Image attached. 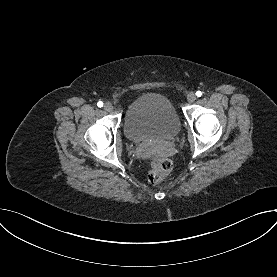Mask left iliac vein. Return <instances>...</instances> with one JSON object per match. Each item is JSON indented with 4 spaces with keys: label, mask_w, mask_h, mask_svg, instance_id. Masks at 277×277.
I'll return each instance as SVG.
<instances>
[{
    "label": "left iliac vein",
    "mask_w": 277,
    "mask_h": 277,
    "mask_svg": "<svg viewBox=\"0 0 277 277\" xmlns=\"http://www.w3.org/2000/svg\"><path fill=\"white\" fill-rule=\"evenodd\" d=\"M187 100L189 103H193L196 100V95L193 92L188 93Z\"/></svg>",
    "instance_id": "1"
}]
</instances>
